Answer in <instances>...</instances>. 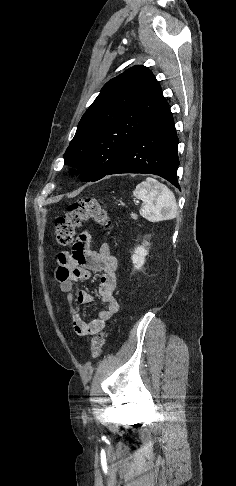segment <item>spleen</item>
<instances>
[{
  "mask_svg": "<svg viewBox=\"0 0 236 486\" xmlns=\"http://www.w3.org/2000/svg\"><path fill=\"white\" fill-rule=\"evenodd\" d=\"M133 195L143 202L141 216L151 222L170 220L177 216L178 206L173 192L154 178L147 177L146 181L138 184Z\"/></svg>",
  "mask_w": 236,
  "mask_h": 486,
  "instance_id": "1",
  "label": "spleen"
}]
</instances>
